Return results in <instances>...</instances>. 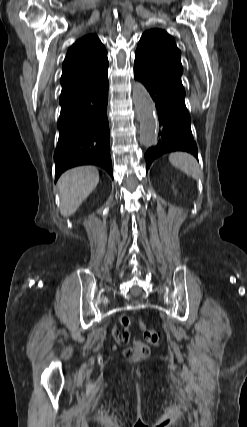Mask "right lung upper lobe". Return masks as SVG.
<instances>
[{
    "label": "right lung upper lobe",
    "instance_id": "1",
    "mask_svg": "<svg viewBox=\"0 0 247 427\" xmlns=\"http://www.w3.org/2000/svg\"><path fill=\"white\" fill-rule=\"evenodd\" d=\"M108 71L107 51L96 35H87L68 50L63 62L62 92L88 84Z\"/></svg>",
    "mask_w": 247,
    "mask_h": 427
}]
</instances>
